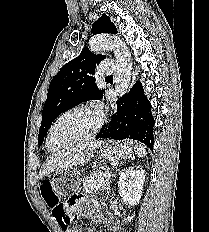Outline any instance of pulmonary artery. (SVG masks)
Returning a JSON list of instances; mask_svg holds the SVG:
<instances>
[{
    "label": "pulmonary artery",
    "mask_w": 209,
    "mask_h": 232,
    "mask_svg": "<svg viewBox=\"0 0 209 232\" xmlns=\"http://www.w3.org/2000/svg\"><path fill=\"white\" fill-rule=\"evenodd\" d=\"M114 71V65L111 61H104L101 63L99 73L101 75H110Z\"/></svg>",
    "instance_id": "obj_1"
}]
</instances>
